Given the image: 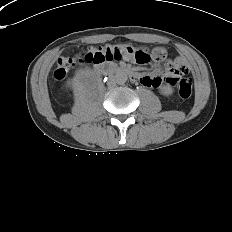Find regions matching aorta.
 I'll list each match as a JSON object with an SVG mask.
<instances>
[{
    "mask_svg": "<svg viewBox=\"0 0 232 232\" xmlns=\"http://www.w3.org/2000/svg\"><path fill=\"white\" fill-rule=\"evenodd\" d=\"M127 79V74L124 72H118L114 77V81L119 85L126 83Z\"/></svg>",
    "mask_w": 232,
    "mask_h": 232,
    "instance_id": "obj_1",
    "label": "aorta"
}]
</instances>
